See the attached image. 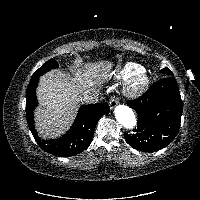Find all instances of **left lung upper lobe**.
<instances>
[{"label":"left lung upper lobe","mask_w":200,"mask_h":200,"mask_svg":"<svg viewBox=\"0 0 200 200\" xmlns=\"http://www.w3.org/2000/svg\"><path fill=\"white\" fill-rule=\"evenodd\" d=\"M161 71L167 76H173V73L168 68L162 69Z\"/></svg>","instance_id":"1"}]
</instances>
